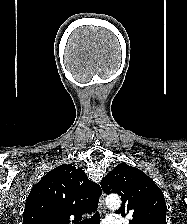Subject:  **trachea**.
Returning a JSON list of instances; mask_svg holds the SVG:
<instances>
[{
    "label": "trachea",
    "mask_w": 187,
    "mask_h": 224,
    "mask_svg": "<svg viewBox=\"0 0 187 224\" xmlns=\"http://www.w3.org/2000/svg\"><path fill=\"white\" fill-rule=\"evenodd\" d=\"M80 224H100V214H99V212H96L90 218L80 222Z\"/></svg>",
    "instance_id": "1"
}]
</instances>
